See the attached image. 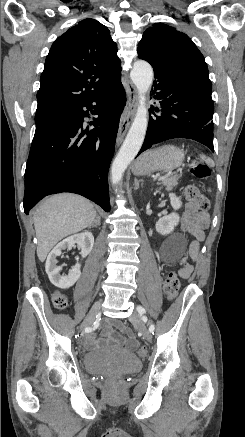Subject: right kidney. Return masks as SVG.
I'll list each match as a JSON object with an SVG mask.
<instances>
[{"label":"right kidney","mask_w":245,"mask_h":437,"mask_svg":"<svg viewBox=\"0 0 245 437\" xmlns=\"http://www.w3.org/2000/svg\"><path fill=\"white\" fill-rule=\"evenodd\" d=\"M78 244L81 248V256L85 258L92 250L94 245V237L91 232L85 231L79 234H74L59 244L50 252L46 260V273L49 280L53 285L61 289H68L72 287L81 275V264H75L68 275H60L61 266H57V257L62 254V250H70L75 244Z\"/></svg>","instance_id":"right-kidney-1"}]
</instances>
